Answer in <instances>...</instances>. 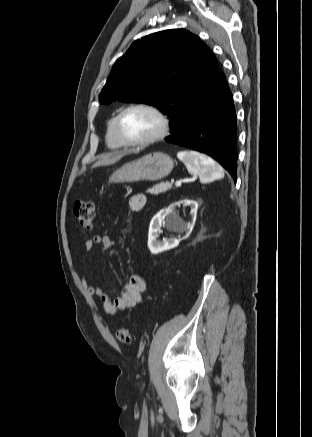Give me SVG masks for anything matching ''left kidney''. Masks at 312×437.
Segmentation results:
<instances>
[{
	"mask_svg": "<svg viewBox=\"0 0 312 437\" xmlns=\"http://www.w3.org/2000/svg\"><path fill=\"white\" fill-rule=\"evenodd\" d=\"M187 205L191 207V220L185 223L179 214L176 212L175 207L179 205ZM198 203L194 200H181L175 202L165 209L160 210L151 220L148 233V248L153 254H158L166 250L177 247L181 241L180 238L172 237L168 240L160 241L158 239L160 228L162 223L167 217V229L170 231L182 233L193 229L197 216Z\"/></svg>",
	"mask_w": 312,
	"mask_h": 437,
	"instance_id": "1",
	"label": "left kidney"
}]
</instances>
